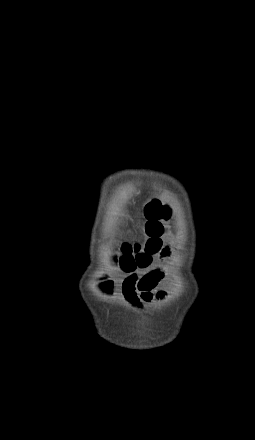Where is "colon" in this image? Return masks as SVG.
Instances as JSON below:
<instances>
[{"label": "colon", "instance_id": "obj_1", "mask_svg": "<svg viewBox=\"0 0 255 440\" xmlns=\"http://www.w3.org/2000/svg\"><path fill=\"white\" fill-rule=\"evenodd\" d=\"M145 213V239L141 243L122 246V267L125 271L143 268L150 264L153 255H162L161 237L167 232L165 223L171 218V209L160 199L148 202Z\"/></svg>", "mask_w": 255, "mask_h": 440}]
</instances>
